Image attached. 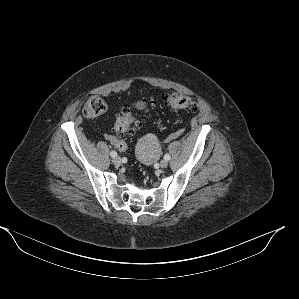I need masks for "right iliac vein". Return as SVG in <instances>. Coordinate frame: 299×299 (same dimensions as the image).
I'll return each instance as SVG.
<instances>
[{
  "label": "right iliac vein",
  "mask_w": 299,
  "mask_h": 299,
  "mask_svg": "<svg viewBox=\"0 0 299 299\" xmlns=\"http://www.w3.org/2000/svg\"><path fill=\"white\" fill-rule=\"evenodd\" d=\"M112 162L114 165L118 166L121 164V158L119 156H115L113 157Z\"/></svg>",
  "instance_id": "obj_1"
}]
</instances>
